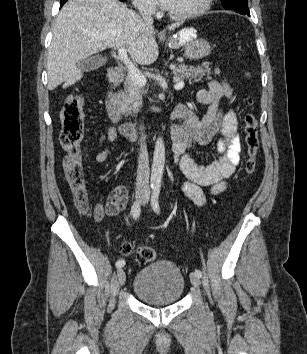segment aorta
Instances as JSON below:
<instances>
[{
	"label": "aorta",
	"instance_id": "aorta-1",
	"mask_svg": "<svg viewBox=\"0 0 307 354\" xmlns=\"http://www.w3.org/2000/svg\"><path fill=\"white\" fill-rule=\"evenodd\" d=\"M165 164V145L163 137L159 136L155 143L151 168V184L159 186L162 181Z\"/></svg>",
	"mask_w": 307,
	"mask_h": 354
}]
</instances>
